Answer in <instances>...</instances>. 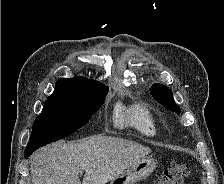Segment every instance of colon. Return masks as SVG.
<instances>
[{
  "label": "colon",
  "instance_id": "5ec220e1",
  "mask_svg": "<svg viewBox=\"0 0 224 184\" xmlns=\"http://www.w3.org/2000/svg\"><path fill=\"white\" fill-rule=\"evenodd\" d=\"M188 175V165L172 162L159 176L157 184H184V180Z\"/></svg>",
  "mask_w": 224,
  "mask_h": 184
}]
</instances>
